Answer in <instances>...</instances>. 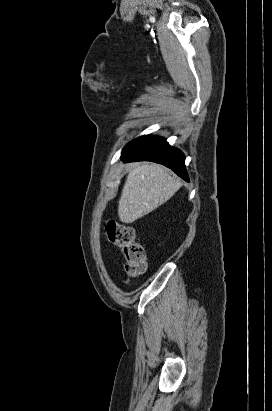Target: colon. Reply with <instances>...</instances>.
<instances>
[{"label":"colon","mask_w":272,"mask_h":411,"mask_svg":"<svg viewBox=\"0 0 272 411\" xmlns=\"http://www.w3.org/2000/svg\"><path fill=\"white\" fill-rule=\"evenodd\" d=\"M106 234L111 243L120 247L125 256V272L128 279L142 275L146 270V252L137 240L132 226L117 221H109Z\"/></svg>","instance_id":"obj_1"}]
</instances>
